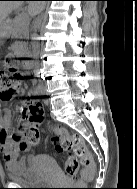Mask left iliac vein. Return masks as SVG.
<instances>
[{"mask_svg": "<svg viewBox=\"0 0 137 189\" xmlns=\"http://www.w3.org/2000/svg\"><path fill=\"white\" fill-rule=\"evenodd\" d=\"M41 93H42V94H45V90H44V89L41 90ZM45 103L48 104V101H46Z\"/></svg>", "mask_w": 137, "mask_h": 189, "instance_id": "left-iliac-vein-1", "label": "left iliac vein"}]
</instances>
